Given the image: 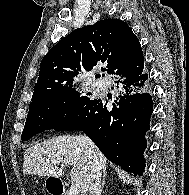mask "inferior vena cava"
Instances as JSON below:
<instances>
[{
    "instance_id": "1",
    "label": "inferior vena cava",
    "mask_w": 189,
    "mask_h": 195,
    "mask_svg": "<svg viewBox=\"0 0 189 195\" xmlns=\"http://www.w3.org/2000/svg\"><path fill=\"white\" fill-rule=\"evenodd\" d=\"M89 145L93 148V142L87 138ZM101 165L97 160L92 163V168L88 182V194L89 195H101Z\"/></svg>"
}]
</instances>
